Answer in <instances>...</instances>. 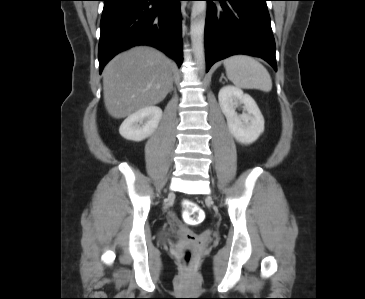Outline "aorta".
<instances>
[{
  "mask_svg": "<svg viewBox=\"0 0 365 299\" xmlns=\"http://www.w3.org/2000/svg\"><path fill=\"white\" fill-rule=\"evenodd\" d=\"M205 18L206 1H194L191 13V38L194 44L197 60L202 67L205 63L203 47Z\"/></svg>",
  "mask_w": 365,
  "mask_h": 299,
  "instance_id": "762f6f07",
  "label": "aorta"
}]
</instances>
